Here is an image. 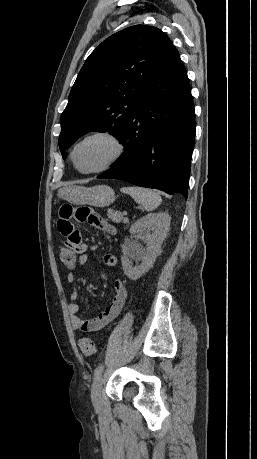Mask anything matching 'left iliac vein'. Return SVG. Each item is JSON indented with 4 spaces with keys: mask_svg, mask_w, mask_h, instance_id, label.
Instances as JSON below:
<instances>
[{
    "mask_svg": "<svg viewBox=\"0 0 257 459\" xmlns=\"http://www.w3.org/2000/svg\"><path fill=\"white\" fill-rule=\"evenodd\" d=\"M102 384H103V378L100 375L95 379V381L93 382L92 388H91V400H92L93 405L97 408L101 406Z\"/></svg>",
    "mask_w": 257,
    "mask_h": 459,
    "instance_id": "1",
    "label": "left iliac vein"
}]
</instances>
